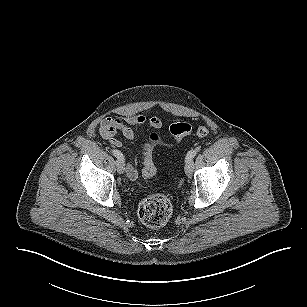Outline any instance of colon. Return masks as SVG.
<instances>
[{"instance_id": "5ec220e1", "label": "colon", "mask_w": 307, "mask_h": 307, "mask_svg": "<svg viewBox=\"0 0 307 307\" xmlns=\"http://www.w3.org/2000/svg\"><path fill=\"white\" fill-rule=\"evenodd\" d=\"M169 132L175 144L180 143L184 137L192 132V126L186 122H176L169 127ZM199 137H206L209 129L200 126L196 130ZM163 143L158 134L152 133L142 149L143 176L152 178L156 175V167L153 163V148L156 144ZM138 215L140 220L148 227L158 228L165 225L171 215L172 206L169 199L160 194L146 196L139 205Z\"/></svg>"}]
</instances>
